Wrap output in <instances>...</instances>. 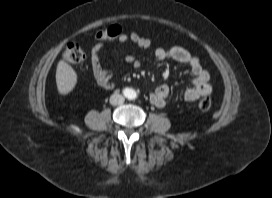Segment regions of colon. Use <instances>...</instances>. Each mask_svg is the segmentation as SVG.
<instances>
[{"mask_svg": "<svg viewBox=\"0 0 272 198\" xmlns=\"http://www.w3.org/2000/svg\"><path fill=\"white\" fill-rule=\"evenodd\" d=\"M123 30L119 25L111 24L99 30L95 34L98 41L114 40L121 36ZM64 59L72 65H80L85 60V53L77 43H69L63 53ZM201 111H208L211 107V99L208 96L202 97L198 102Z\"/></svg>", "mask_w": 272, "mask_h": 198, "instance_id": "5ec220e1", "label": "colon"}]
</instances>
